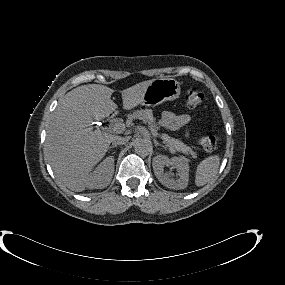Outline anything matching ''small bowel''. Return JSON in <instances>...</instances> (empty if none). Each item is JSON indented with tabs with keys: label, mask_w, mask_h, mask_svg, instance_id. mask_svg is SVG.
<instances>
[{
	"label": "small bowel",
	"mask_w": 285,
	"mask_h": 285,
	"mask_svg": "<svg viewBox=\"0 0 285 285\" xmlns=\"http://www.w3.org/2000/svg\"><path fill=\"white\" fill-rule=\"evenodd\" d=\"M191 121L188 114H176L173 112H164L161 115L160 124L167 130L175 131L182 127H187Z\"/></svg>",
	"instance_id": "c3829d8e"
}]
</instances>
